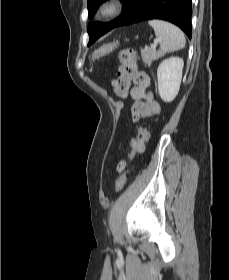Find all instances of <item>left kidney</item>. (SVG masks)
Masks as SVG:
<instances>
[{
	"label": "left kidney",
	"instance_id": "left-kidney-1",
	"mask_svg": "<svg viewBox=\"0 0 229 280\" xmlns=\"http://www.w3.org/2000/svg\"><path fill=\"white\" fill-rule=\"evenodd\" d=\"M184 62L179 57L164 59L157 69L158 91L161 99L171 102L178 95Z\"/></svg>",
	"mask_w": 229,
	"mask_h": 280
}]
</instances>
